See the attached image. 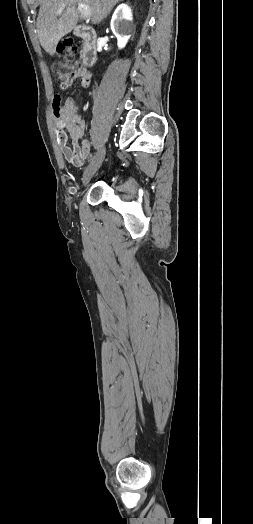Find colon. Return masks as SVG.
<instances>
[{"label": "colon", "mask_w": 253, "mask_h": 524, "mask_svg": "<svg viewBox=\"0 0 253 524\" xmlns=\"http://www.w3.org/2000/svg\"><path fill=\"white\" fill-rule=\"evenodd\" d=\"M59 48L63 53L61 59L55 61L51 70L56 76L60 87H67L73 81L77 80L80 89L87 90L90 87V79L87 72L83 69V63L78 60L79 51L75 45L73 38H66L59 44ZM60 100L54 102V113H58L60 109Z\"/></svg>", "instance_id": "obj_1"}]
</instances>
